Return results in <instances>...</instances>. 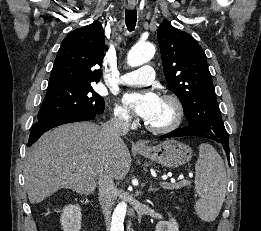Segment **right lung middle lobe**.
Listing matches in <instances>:
<instances>
[{"mask_svg": "<svg viewBox=\"0 0 261 231\" xmlns=\"http://www.w3.org/2000/svg\"><path fill=\"white\" fill-rule=\"evenodd\" d=\"M105 108L103 98L92 85L48 88L38 113V121L75 112L102 113Z\"/></svg>", "mask_w": 261, "mask_h": 231, "instance_id": "dd1d6c3e", "label": "right lung middle lobe"}]
</instances>
